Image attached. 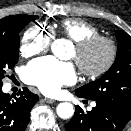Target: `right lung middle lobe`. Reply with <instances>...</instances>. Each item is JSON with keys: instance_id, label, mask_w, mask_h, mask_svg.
<instances>
[{"instance_id": "dd1d6c3e", "label": "right lung middle lobe", "mask_w": 131, "mask_h": 131, "mask_svg": "<svg viewBox=\"0 0 131 131\" xmlns=\"http://www.w3.org/2000/svg\"><path fill=\"white\" fill-rule=\"evenodd\" d=\"M37 18L35 15H14L6 27H0V86L6 69L13 68L18 62L20 31Z\"/></svg>"}]
</instances>
